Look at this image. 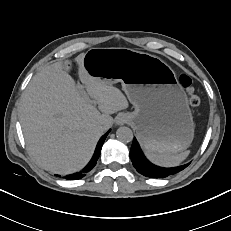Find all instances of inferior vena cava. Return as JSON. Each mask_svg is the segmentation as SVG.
<instances>
[{
  "label": "inferior vena cava",
  "mask_w": 231,
  "mask_h": 231,
  "mask_svg": "<svg viewBox=\"0 0 231 231\" xmlns=\"http://www.w3.org/2000/svg\"><path fill=\"white\" fill-rule=\"evenodd\" d=\"M103 129H106V127H105V126H103Z\"/></svg>",
  "instance_id": "1"
}]
</instances>
